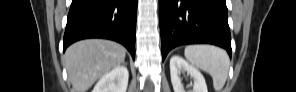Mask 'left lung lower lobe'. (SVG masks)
Masks as SVG:
<instances>
[{"label":"left lung lower lobe","instance_id":"1","mask_svg":"<svg viewBox=\"0 0 296 92\" xmlns=\"http://www.w3.org/2000/svg\"><path fill=\"white\" fill-rule=\"evenodd\" d=\"M162 60L180 45L214 44L231 56L226 0H159Z\"/></svg>","mask_w":296,"mask_h":92}]
</instances>
